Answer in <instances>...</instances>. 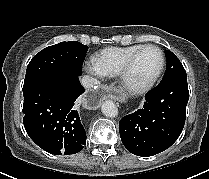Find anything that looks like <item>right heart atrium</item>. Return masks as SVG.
Returning <instances> with one entry per match:
<instances>
[{
  "instance_id": "d8ad5b80",
  "label": "right heart atrium",
  "mask_w": 209,
  "mask_h": 179,
  "mask_svg": "<svg viewBox=\"0 0 209 179\" xmlns=\"http://www.w3.org/2000/svg\"><path fill=\"white\" fill-rule=\"evenodd\" d=\"M87 70L92 73V74H95V75H100V73L97 71V69L93 66H87Z\"/></svg>"
}]
</instances>
